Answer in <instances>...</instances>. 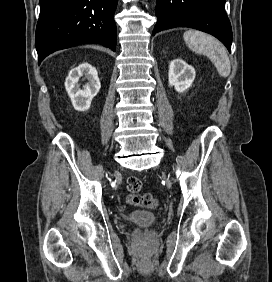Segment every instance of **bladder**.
Instances as JSON below:
<instances>
[{
	"label": "bladder",
	"mask_w": 272,
	"mask_h": 282,
	"mask_svg": "<svg viewBox=\"0 0 272 282\" xmlns=\"http://www.w3.org/2000/svg\"><path fill=\"white\" fill-rule=\"evenodd\" d=\"M158 217L147 211L136 210L126 216V220L134 224L153 225L157 222Z\"/></svg>",
	"instance_id": "1"
}]
</instances>
